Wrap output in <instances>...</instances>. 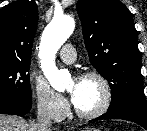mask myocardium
Segmentation results:
<instances>
[{
  "mask_svg": "<svg viewBox=\"0 0 147 131\" xmlns=\"http://www.w3.org/2000/svg\"><path fill=\"white\" fill-rule=\"evenodd\" d=\"M82 79H92L98 82L102 90V101L100 105L92 111H81L74 106L75 114L82 119H94L106 113L112 103V89L108 80L97 71H88L82 74Z\"/></svg>",
  "mask_w": 147,
  "mask_h": 131,
  "instance_id": "f54148a6",
  "label": "myocardium"
}]
</instances>
